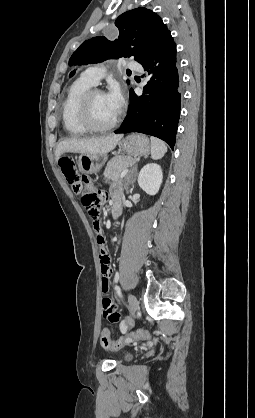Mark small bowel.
<instances>
[{"label": "small bowel", "mask_w": 255, "mask_h": 418, "mask_svg": "<svg viewBox=\"0 0 255 418\" xmlns=\"http://www.w3.org/2000/svg\"><path fill=\"white\" fill-rule=\"evenodd\" d=\"M121 191L119 188H113L111 190L110 196L113 201V210L118 209L120 211V206L118 204V199L120 197ZM110 245L109 237H98L96 254L99 256L100 269H101V288L104 293L109 290L110 278L112 276V265L111 258L109 255V249L107 246ZM103 306V318L111 323H115L120 319V312L116 310V306L111 298L105 296L102 299Z\"/></svg>", "instance_id": "obj_1"}]
</instances>
